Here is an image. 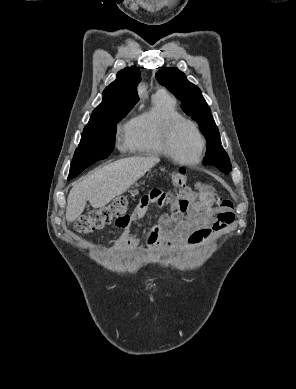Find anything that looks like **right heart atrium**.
Listing matches in <instances>:
<instances>
[{
  "instance_id": "d8ad5b80",
  "label": "right heart atrium",
  "mask_w": 296,
  "mask_h": 389,
  "mask_svg": "<svg viewBox=\"0 0 296 389\" xmlns=\"http://www.w3.org/2000/svg\"><path fill=\"white\" fill-rule=\"evenodd\" d=\"M127 136V128L126 126L125 127H120L118 128V131H117V139L118 141H122L123 139H125Z\"/></svg>"
}]
</instances>
